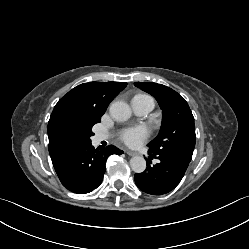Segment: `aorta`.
<instances>
[{
	"label": "aorta",
	"instance_id": "aorta-1",
	"mask_svg": "<svg viewBox=\"0 0 249 249\" xmlns=\"http://www.w3.org/2000/svg\"><path fill=\"white\" fill-rule=\"evenodd\" d=\"M111 117L119 122L128 120L132 111L130 106L123 101H115L109 107ZM131 169L135 173H142L146 169V160L142 156H134L130 159Z\"/></svg>",
	"mask_w": 249,
	"mask_h": 249
}]
</instances>
